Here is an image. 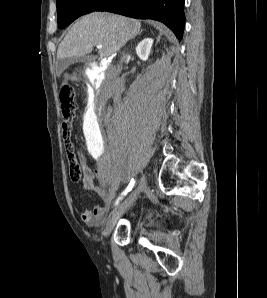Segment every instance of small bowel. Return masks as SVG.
Listing matches in <instances>:
<instances>
[{"instance_id":"c3829d8e","label":"small bowel","mask_w":267,"mask_h":298,"mask_svg":"<svg viewBox=\"0 0 267 298\" xmlns=\"http://www.w3.org/2000/svg\"><path fill=\"white\" fill-rule=\"evenodd\" d=\"M96 174L97 171H93L85 162H83V188L87 191L95 192L104 201L102 205H96L93 209L84 208L81 210L80 217L82 221L91 226H98L103 222V219L109 210L110 203L117 191V186H112L108 190H104L98 186L95 182Z\"/></svg>"}]
</instances>
